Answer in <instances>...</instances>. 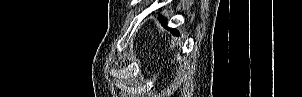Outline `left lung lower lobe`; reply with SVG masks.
<instances>
[{
	"label": "left lung lower lobe",
	"instance_id": "left-lung-lower-lobe-1",
	"mask_svg": "<svg viewBox=\"0 0 302 97\" xmlns=\"http://www.w3.org/2000/svg\"><path fill=\"white\" fill-rule=\"evenodd\" d=\"M159 20L162 22L164 26H166V21L162 16H159ZM174 35H179L175 29L168 28Z\"/></svg>",
	"mask_w": 302,
	"mask_h": 97
}]
</instances>
